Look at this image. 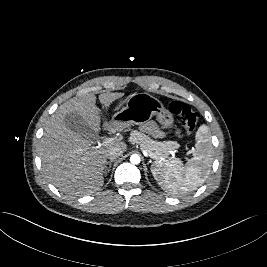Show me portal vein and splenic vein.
Returning a JSON list of instances; mask_svg holds the SVG:
<instances>
[{
    "label": "portal vein and splenic vein",
    "mask_w": 267,
    "mask_h": 267,
    "mask_svg": "<svg viewBox=\"0 0 267 267\" xmlns=\"http://www.w3.org/2000/svg\"><path fill=\"white\" fill-rule=\"evenodd\" d=\"M113 142H115V138H106L105 140H103V142H102L101 145H108V144H112ZM143 154H144V156H146V157L153 158V155H152V154H149V153L146 152V151H143Z\"/></svg>",
    "instance_id": "obj_1"
}]
</instances>
